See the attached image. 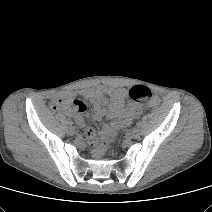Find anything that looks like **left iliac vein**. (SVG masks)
Instances as JSON below:
<instances>
[{"mask_svg": "<svg viewBox=\"0 0 212 212\" xmlns=\"http://www.w3.org/2000/svg\"><path fill=\"white\" fill-rule=\"evenodd\" d=\"M131 136H132V138H134V139L139 138V136H140V130H139L138 128H133V129L131 130Z\"/></svg>", "mask_w": 212, "mask_h": 212, "instance_id": "obj_1", "label": "left iliac vein"}]
</instances>
